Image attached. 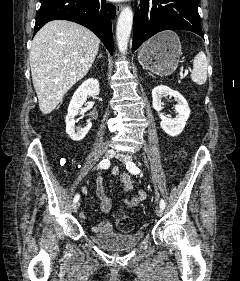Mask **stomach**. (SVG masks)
I'll list each match as a JSON object with an SVG mask.
<instances>
[{"label": "stomach", "instance_id": "0dacf381", "mask_svg": "<svg viewBox=\"0 0 240 281\" xmlns=\"http://www.w3.org/2000/svg\"><path fill=\"white\" fill-rule=\"evenodd\" d=\"M180 56V39L173 31H164L152 37L138 53L142 67L159 76L172 74L178 66Z\"/></svg>", "mask_w": 240, "mask_h": 281}]
</instances>
